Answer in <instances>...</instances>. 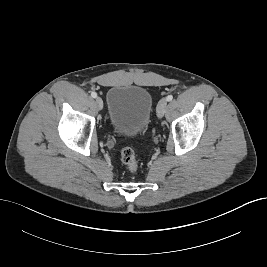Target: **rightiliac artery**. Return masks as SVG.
Returning a JSON list of instances; mask_svg holds the SVG:
<instances>
[{"instance_id": "obj_1", "label": "right iliac artery", "mask_w": 267, "mask_h": 267, "mask_svg": "<svg viewBox=\"0 0 267 267\" xmlns=\"http://www.w3.org/2000/svg\"><path fill=\"white\" fill-rule=\"evenodd\" d=\"M91 96H92L93 98H96V97H97V93H96V92H92V93H91Z\"/></svg>"}]
</instances>
